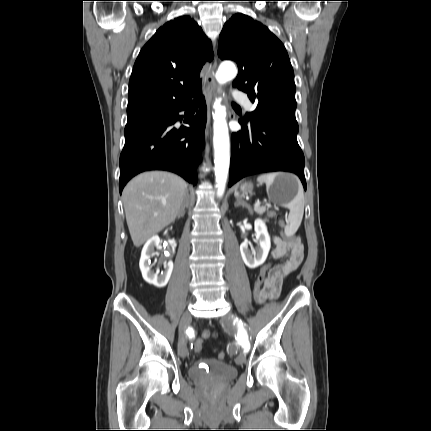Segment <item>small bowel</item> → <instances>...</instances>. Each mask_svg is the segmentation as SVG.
<instances>
[{
    "mask_svg": "<svg viewBox=\"0 0 431 431\" xmlns=\"http://www.w3.org/2000/svg\"><path fill=\"white\" fill-rule=\"evenodd\" d=\"M273 241L275 246L271 252V257L274 259L286 258V260L279 265L268 268L258 303L277 298L285 278L299 267L304 257V248L299 239L285 241L279 237H274Z\"/></svg>",
    "mask_w": 431,
    "mask_h": 431,
    "instance_id": "obj_1",
    "label": "small bowel"
}]
</instances>
